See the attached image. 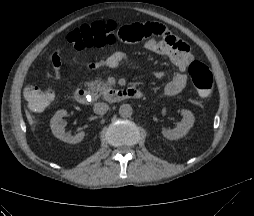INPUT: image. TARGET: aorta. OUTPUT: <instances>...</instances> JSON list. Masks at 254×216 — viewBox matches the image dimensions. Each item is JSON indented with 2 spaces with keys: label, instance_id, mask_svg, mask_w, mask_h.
<instances>
[{
  "label": "aorta",
  "instance_id": "1",
  "mask_svg": "<svg viewBox=\"0 0 254 216\" xmlns=\"http://www.w3.org/2000/svg\"><path fill=\"white\" fill-rule=\"evenodd\" d=\"M133 114V109L129 104H122L119 108V115L123 118H129Z\"/></svg>",
  "mask_w": 254,
  "mask_h": 216
}]
</instances>
